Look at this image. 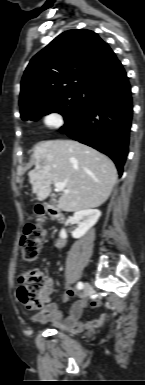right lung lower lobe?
<instances>
[{
    "instance_id": "obj_1",
    "label": "right lung lower lobe",
    "mask_w": 145,
    "mask_h": 385,
    "mask_svg": "<svg viewBox=\"0 0 145 385\" xmlns=\"http://www.w3.org/2000/svg\"><path fill=\"white\" fill-rule=\"evenodd\" d=\"M132 115L131 87L124 71L92 90L85 106L60 132L108 155L122 175Z\"/></svg>"
}]
</instances>
